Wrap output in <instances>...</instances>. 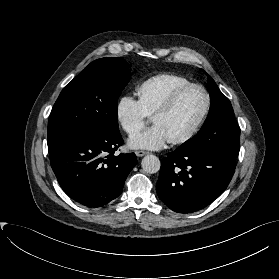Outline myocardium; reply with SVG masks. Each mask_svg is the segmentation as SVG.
I'll return each instance as SVG.
<instances>
[{"label":"myocardium","instance_id":"1","mask_svg":"<svg viewBox=\"0 0 279 279\" xmlns=\"http://www.w3.org/2000/svg\"><path fill=\"white\" fill-rule=\"evenodd\" d=\"M199 89L201 90L204 95H205V105L203 108L202 113L200 114L199 118L197 121L194 123V125L181 137L176 138V139H171L169 142L173 145H180L188 142L190 139H192L197 132L200 130L202 127L204 121L206 120L208 113L210 111V106H211V97L208 92V90L201 84L197 83H188L185 85H182L175 89L169 97L166 99L164 104L152 115V121H154L156 118L161 117L169 113L172 108L174 107L175 103L179 99V97L187 90L189 89Z\"/></svg>","mask_w":279,"mask_h":279}]
</instances>
